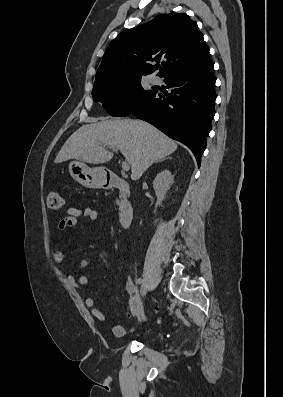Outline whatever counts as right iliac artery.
<instances>
[{
  "label": "right iliac artery",
  "mask_w": 283,
  "mask_h": 397,
  "mask_svg": "<svg viewBox=\"0 0 283 397\" xmlns=\"http://www.w3.org/2000/svg\"><path fill=\"white\" fill-rule=\"evenodd\" d=\"M137 283H138V284L143 283V279L139 278V279L137 280Z\"/></svg>",
  "instance_id": "1"
}]
</instances>
